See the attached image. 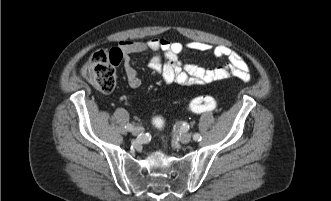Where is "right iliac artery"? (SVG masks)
Wrapping results in <instances>:
<instances>
[{"label":"right iliac artery","instance_id":"1","mask_svg":"<svg viewBox=\"0 0 331 201\" xmlns=\"http://www.w3.org/2000/svg\"><path fill=\"white\" fill-rule=\"evenodd\" d=\"M125 128L128 130V131H132L134 129V126L132 124H127L125 126Z\"/></svg>","mask_w":331,"mask_h":201}]
</instances>
